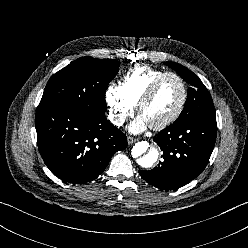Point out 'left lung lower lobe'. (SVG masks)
<instances>
[{"mask_svg":"<svg viewBox=\"0 0 248 248\" xmlns=\"http://www.w3.org/2000/svg\"><path fill=\"white\" fill-rule=\"evenodd\" d=\"M216 134L215 115L173 123L153 138L163 151L162 162L152 170H139L141 177L162 190L184 186L205 169Z\"/></svg>","mask_w":248,"mask_h":248,"instance_id":"obj_1","label":"left lung lower lobe"}]
</instances>
